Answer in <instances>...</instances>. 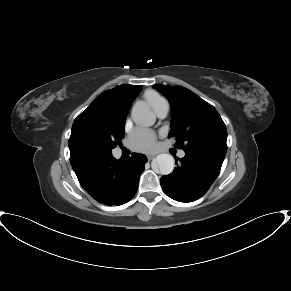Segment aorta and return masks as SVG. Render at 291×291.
I'll return each instance as SVG.
<instances>
[{"instance_id": "aorta-1", "label": "aorta", "mask_w": 291, "mask_h": 291, "mask_svg": "<svg viewBox=\"0 0 291 291\" xmlns=\"http://www.w3.org/2000/svg\"><path fill=\"white\" fill-rule=\"evenodd\" d=\"M131 117L136 124L147 127L152 126L156 121L154 113L144 103L136 104L133 107ZM156 163L162 175H168L174 169V158L170 154H159L156 157Z\"/></svg>"}]
</instances>
